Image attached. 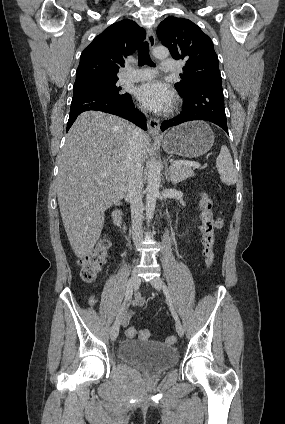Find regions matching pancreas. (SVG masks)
<instances>
[{
  "label": "pancreas",
  "mask_w": 285,
  "mask_h": 424,
  "mask_svg": "<svg viewBox=\"0 0 285 424\" xmlns=\"http://www.w3.org/2000/svg\"><path fill=\"white\" fill-rule=\"evenodd\" d=\"M192 176H194L192 166L179 164L170 168V179L173 183H178Z\"/></svg>",
  "instance_id": "pancreas-1"
}]
</instances>
